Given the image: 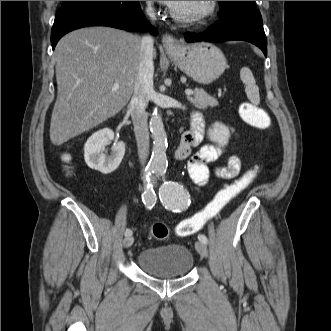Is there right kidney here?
Instances as JSON below:
<instances>
[{"label": "right kidney", "mask_w": 331, "mask_h": 331, "mask_svg": "<svg viewBox=\"0 0 331 331\" xmlns=\"http://www.w3.org/2000/svg\"><path fill=\"white\" fill-rule=\"evenodd\" d=\"M112 140L114 133L109 128L101 129L88 138L84 146V159L91 169L110 174L118 168L125 154V144L115 140L111 154L106 155L105 147Z\"/></svg>", "instance_id": "ca27d5eb"}]
</instances>
